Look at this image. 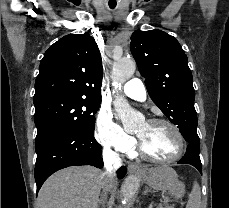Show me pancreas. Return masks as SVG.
<instances>
[{"mask_svg":"<svg viewBox=\"0 0 229 208\" xmlns=\"http://www.w3.org/2000/svg\"><path fill=\"white\" fill-rule=\"evenodd\" d=\"M168 200H165L164 204H159L158 208H163V206H166ZM167 208H173V206H167Z\"/></svg>","mask_w":229,"mask_h":208,"instance_id":"cf45deb5","label":"pancreas"}]
</instances>
